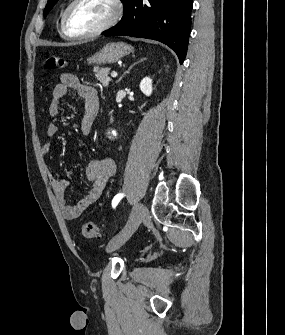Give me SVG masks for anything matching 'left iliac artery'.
Masks as SVG:
<instances>
[{"instance_id": "44dca946", "label": "left iliac artery", "mask_w": 285, "mask_h": 335, "mask_svg": "<svg viewBox=\"0 0 285 335\" xmlns=\"http://www.w3.org/2000/svg\"><path fill=\"white\" fill-rule=\"evenodd\" d=\"M123 194L120 193V194H117L113 200H112V207L115 208L117 206V204L119 203V201L121 200V198H123Z\"/></svg>"}]
</instances>
